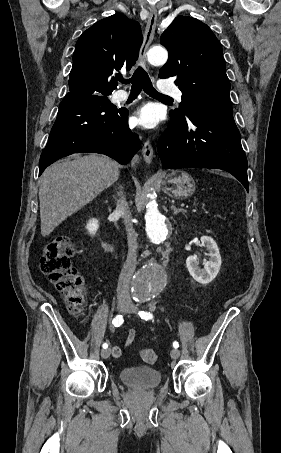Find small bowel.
<instances>
[{"mask_svg":"<svg viewBox=\"0 0 281 453\" xmlns=\"http://www.w3.org/2000/svg\"><path fill=\"white\" fill-rule=\"evenodd\" d=\"M134 339H135V331L132 329L128 330L127 337H126V340L124 343V348L129 347L133 343ZM110 351H111L112 355L120 356L122 354L123 348H121L119 346H113L110 349Z\"/></svg>","mask_w":281,"mask_h":453,"instance_id":"1","label":"small bowel"}]
</instances>
